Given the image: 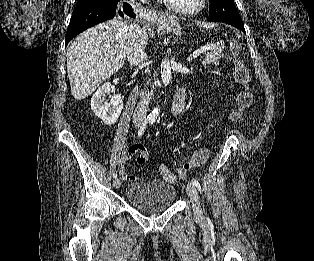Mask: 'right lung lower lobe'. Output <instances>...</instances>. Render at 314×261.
<instances>
[{"label": "right lung lower lobe", "instance_id": "98d812e1", "mask_svg": "<svg viewBox=\"0 0 314 261\" xmlns=\"http://www.w3.org/2000/svg\"><path fill=\"white\" fill-rule=\"evenodd\" d=\"M123 10V12H122ZM135 17L132 7L123 0H94L82 6H77L70 20L65 36V46L69 41L84 30L112 19L116 14Z\"/></svg>", "mask_w": 314, "mask_h": 261}]
</instances>
